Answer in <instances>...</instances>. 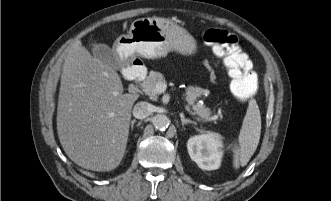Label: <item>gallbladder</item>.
Wrapping results in <instances>:
<instances>
[{"label": "gallbladder", "mask_w": 331, "mask_h": 201, "mask_svg": "<svg viewBox=\"0 0 331 201\" xmlns=\"http://www.w3.org/2000/svg\"><path fill=\"white\" fill-rule=\"evenodd\" d=\"M92 52L94 57L101 62L109 65L115 70H121L124 67L123 62L120 60L118 54L113 51L108 45L102 43H92Z\"/></svg>", "instance_id": "bac80fb5"}]
</instances>
